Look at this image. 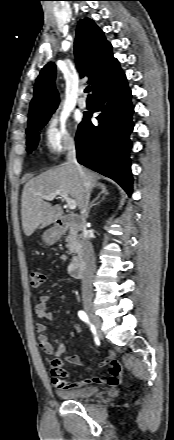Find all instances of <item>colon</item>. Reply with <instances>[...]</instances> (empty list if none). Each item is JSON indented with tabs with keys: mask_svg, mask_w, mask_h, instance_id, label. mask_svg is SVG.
Listing matches in <instances>:
<instances>
[{
	"mask_svg": "<svg viewBox=\"0 0 174 440\" xmlns=\"http://www.w3.org/2000/svg\"><path fill=\"white\" fill-rule=\"evenodd\" d=\"M45 276L41 270L35 269L30 273V283L33 287H39L44 283Z\"/></svg>",
	"mask_w": 174,
	"mask_h": 440,
	"instance_id": "colon-1",
	"label": "colon"
}]
</instances>
